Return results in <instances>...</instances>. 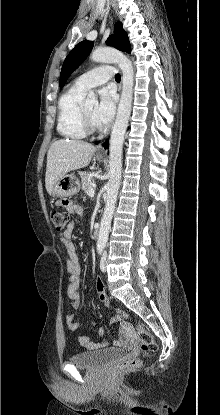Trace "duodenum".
<instances>
[{
  "instance_id": "duodenum-1",
  "label": "duodenum",
  "mask_w": 220,
  "mask_h": 415,
  "mask_svg": "<svg viewBox=\"0 0 220 415\" xmlns=\"http://www.w3.org/2000/svg\"><path fill=\"white\" fill-rule=\"evenodd\" d=\"M99 234H100V227H99V225H96L93 229V237L97 238L99 236Z\"/></svg>"
}]
</instances>
